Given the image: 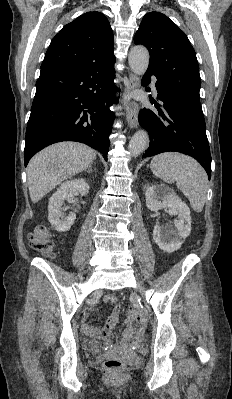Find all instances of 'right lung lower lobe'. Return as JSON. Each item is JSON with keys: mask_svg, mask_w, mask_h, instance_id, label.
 <instances>
[{"mask_svg": "<svg viewBox=\"0 0 232 399\" xmlns=\"http://www.w3.org/2000/svg\"><path fill=\"white\" fill-rule=\"evenodd\" d=\"M114 60L73 69L41 70L27 124L24 161L46 146L77 141L107 160L115 115Z\"/></svg>", "mask_w": 232, "mask_h": 399, "instance_id": "right-lung-lower-lobe-1", "label": "right lung lower lobe"}]
</instances>
